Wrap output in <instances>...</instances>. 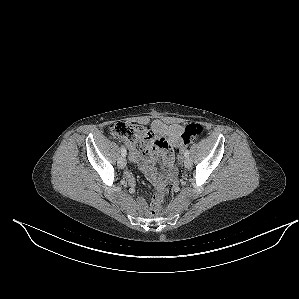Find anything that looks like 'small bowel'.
I'll return each mask as SVG.
<instances>
[{
  "instance_id": "c3829d8e",
  "label": "small bowel",
  "mask_w": 299,
  "mask_h": 299,
  "mask_svg": "<svg viewBox=\"0 0 299 299\" xmlns=\"http://www.w3.org/2000/svg\"><path fill=\"white\" fill-rule=\"evenodd\" d=\"M183 130L184 126L181 124H166L157 119L148 128L149 133L140 143V150L136 144L125 141L130 160L139 165L141 171L156 188H160L165 180L173 181L175 178L174 148L186 146L182 141ZM159 161L164 167L161 172L156 169ZM125 176L130 184L134 183L130 172H126ZM137 204L140 209H146L144 199L139 198Z\"/></svg>"
}]
</instances>
